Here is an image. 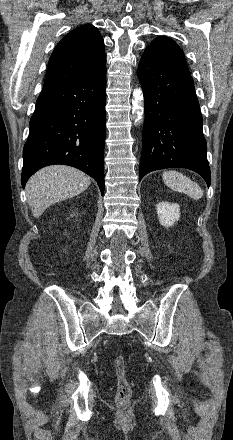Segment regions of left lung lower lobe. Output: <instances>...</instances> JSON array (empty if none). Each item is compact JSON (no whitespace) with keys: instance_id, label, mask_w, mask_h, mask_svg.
Listing matches in <instances>:
<instances>
[{"instance_id":"left-lung-lower-lobe-1","label":"left lung lower lobe","mask_w":233,"mask_h":440,"mask_svg":"<svg viewBox=\"0 0 233 440\" xmlns=\"http://www.w3.org/2000/svg\"><path fill=\"white\" fill-rule=\"evenodd\" d=\"M138 77L145 99L139 180L151 171L182 167L210 186L203 120L188 68L143 54Z\"/></svg>"}]
</instances>
